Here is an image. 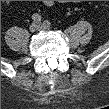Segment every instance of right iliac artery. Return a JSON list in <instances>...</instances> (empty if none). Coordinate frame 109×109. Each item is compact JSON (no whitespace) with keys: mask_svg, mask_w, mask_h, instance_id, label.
<instances>
[{"mask_svg":"<svg viewBox=\"0 0 109 109\" xmlns=\"http://www.w3.org/2000/svg\"><path fill=\"white\" fill-rule=\"evenodd\" d=\"M32 19L34 22H40L42 18L39 14H33Z\"/></svg>","mask_w":109,"mask_h":109,"instance_id":"1","label":"right iliac artery"}]
</instances>
